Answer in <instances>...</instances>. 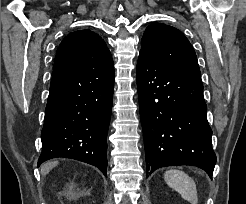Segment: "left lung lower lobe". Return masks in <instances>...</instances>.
I'll return each mask as SVG.
<instances>
[{
    "label": "left lung lower lobe",
    "mask_w": 246,
    "mask_h": 204,
    "mask_svg": "<svg viewBox=\"0 0 246 204\" xmlns=\"http://www.w3.org/2000/svg\"><path fill=\"white\" fill-rule=\"evenodd\" d=\"M137 88L146 177L161 167L191 165L212 178L216 155L200 75L139 57Z\"/></svg>",
    "instance_id": "0a47b994"
}]
</instances>
